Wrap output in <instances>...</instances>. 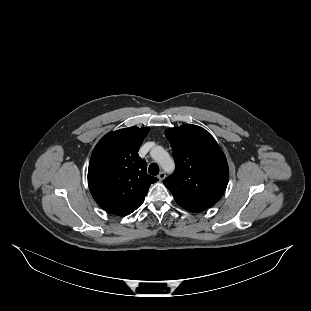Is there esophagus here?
<instances>
[{"mask_svg": "<svg viewBox=\"0 0 311 311\" xmlns=\"http://www.w3.org/2000/svg\"><path fill=\"white\" fill-rule=\"evenodd\" d=\"M157 177H158V179H159L160 181H162V180L165 179L166 174H165V172H160L159 175H158Z\"/></svg>", "mask_w": 311, "mask_h": 311, "instance_id": "1", "label": "esophagus"}]
</instances>
